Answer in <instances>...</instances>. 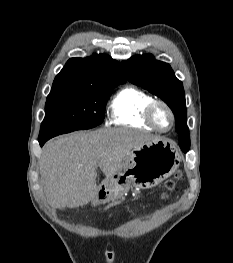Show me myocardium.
<instances>
[{
  "label": "myocardium",
  "instance_id": "1",
  "mask_svg": "<svg viewBox=\"0 0 233 263\" xmlns=\"http://www.w3.org/2000/svg\"><path fill=\"white\" fill-rule=\"evenodd\" d=\"M158 106H162L170 115V125L168 128H161L155 120V110ZM145 120L157 131L165 133L170 131L175 124V115L171 107L163 100H152L145 109Z\"/></svg>",
  "mask_w": 233,
  "mask_h": 263
}]
</instances>
